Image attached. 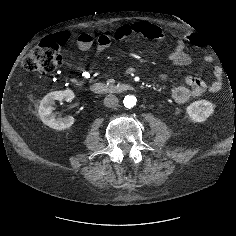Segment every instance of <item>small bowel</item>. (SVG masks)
I'll return each mask as SVG.
<instances>
[{
    "instance_id": "c3829d8e",
    "label": "small bowel",
    "mask_w": 236,
    "mask_h": 236,
    "mask_svg": "<svg viewBox=\"0 0 236 236\" xmlns=\"http://www.w3.org/2000/svg\"><path fill=\"white\" fill-rule=\"evenodd\" d=\"M139 34L150 39H173L175 40V47L169 54V60L172 64L177 66L188 65L192 58L186 52V43L191 42L198 44V39L194 34L187 35H175L167 33L162 27L149 23V22H134L131 24H124L116 28L111 34H103L95 38L90 33H81L77 38V46L81 51L89 50L94 43H96L94 57L99 59L104 51L109 47L112 40H122L130 35ZM63 43H66L69 39L67 32H60L56 36ZM214 81L207 85L202 79L194 76H187L185 79V86H175L171 90V97L177 104H184L191 98L199 97L206 91L216 93L221 90L222 71L219 67L213 70ZM160 79L165 81L167 79L166 74H161Z\"/></svg>"
}]
</instances>
